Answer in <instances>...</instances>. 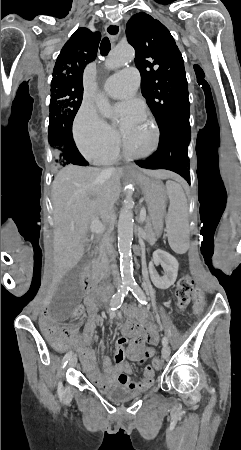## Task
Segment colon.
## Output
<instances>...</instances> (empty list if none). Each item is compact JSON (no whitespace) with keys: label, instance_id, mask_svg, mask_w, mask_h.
I'll return each instance as SVG.
<instances>
[{"label":"colon","instance_id":"1","mask_svg":"<svg viewBox=\"0 0 241 450\" xmlns=\"http://www.w3.org/2000/svg\"><path fill=\"white\" fill-rule=\"evenodd\" d=\"M194 292V296L191 298V294ZM177 302H186L187 305L191 299V305L194 306V312L201 316L205 309V306L209 305V298L203 296V291L201 289H194L193 278L191 275H186L181 278L176 292ZM179 312L181 314H186L188 312V307L181 303L179 305ZM76 313L78 315H83L85 313V308L83 306H78L76 308ZM154 367H159V357H154Z\"/></svg>","mask_w":241,"mask_h":450}]
</instances>
